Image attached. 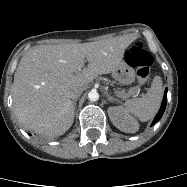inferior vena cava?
<instances>
[{"instance_id":"inferior-vena-cava-1","label":"inferior vena cava","mask_w":187,"mask_h":187,"mask_svg":"<svg viewBox=\"0 0 187 187\" xmlns=\"http://www.w3.org/2000/svg\"><path fill=\"white\" fill-rule=\"evenodd\" d=\"M82 92H83L82 87H76L71 91L70 96H71L72 99H76L82 94Z\"/></svg>"}]
</instances>
